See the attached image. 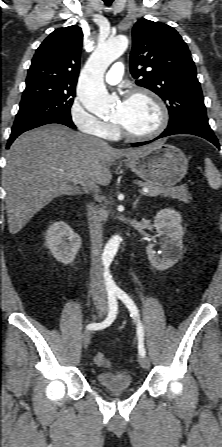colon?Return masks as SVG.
<instances>
[{
  "instance_id": "colon-1",
  "label": "colon",
  "mask_w": 222,
  "mask_h": 447,
  "mask_svg": "<svg viewBox=\"0 0 222 447\" xmlns=\"http://www.w3.org/2000/svg\"><path fill=\"white\" fill-rule=\"evenodd\" d=\"M94 362L99 366H105L109 364V361L107 360L106 356L103 353H97L94 356Z\"/></svg>"
}]
</instances>
